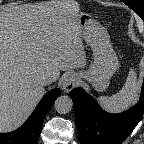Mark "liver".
Here are the masks:
<instances>
[{"instance_id":"liver-1","label":"liver","mask_w":144,"mask_h":144,"mask_svg":"<svg viewBox=\"0 0 144 144\" xmlns=\"http://www.w3.org/2000/svg\"><path fill=\"white\" fill-rule=\"evenodd\" d=\"M75 0L23 4L0 12V132L20 127L45 94L48 73L84 67Z\"/></svg>"}]
</instances>
